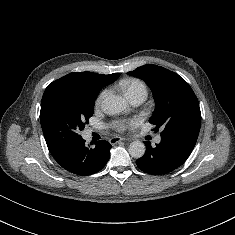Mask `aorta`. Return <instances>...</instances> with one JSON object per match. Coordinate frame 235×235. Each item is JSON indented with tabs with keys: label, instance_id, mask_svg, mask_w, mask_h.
Here are the masks:
<instances>
[{
	"label": "aorta",
	"instance_id": "obj_1",
	"mask_svg": "<svg viewBox=\"0 0 235 235\" xmlns=\"http://www.w3.org/2000/svg\"><path fill=\"white\" fill-rule=\"evenodd\" d=\"M103 108L109 114H116L126 108V101L118 95L110 94L103 100ZM146 147L141 141H134L129 145V154L136 159L143 157Z\"/></svg>",
	"mask_w": 235,
	"mask_h": 235
}]
</instances>
